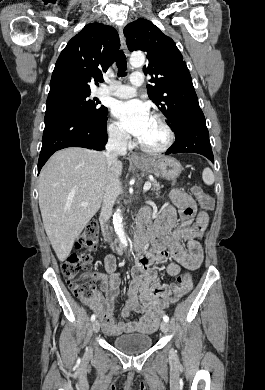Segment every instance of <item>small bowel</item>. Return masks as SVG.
<instances>
[{
  "instance_id": "1",
  "label": "small bowel",
  "mask_w": 265,
  "mask_h": 390,
  "mask_svg": "<svg viewBox=\"0 0 265 390\" xmlns=\"http://www.w3.org/2000/svg\"><path fill=\"white\" fill-rule=\"evenodd\" d=\"M172 205L166 206L154 223L151 233L152 248L140 256L131 270L132 280L125 292L128 302L115 316V301L120 295V277L117 272L116 259L107 255L104 259L106 274L99 275L101 293L84 303L94 311L102 321V328L107 335L125 333L148 334L155 331L169 304L165 295L172 285L161 284L157 280L154 263L173 260L167 265L170 276H177L181 267L187 272L183 275L179 297L192 288V277L189 271L197 269L203 259L201 245L198 241L208 225V216L204 211L197 213V207L191 196L175 189L170 195ZM181 223L176 226L177 211ZM152 210L146 208L140 216L150 218ZM186 244V247H185ZM133 313L141 314L138 321L127 320Z\"/></svg>"
}]
</instances>
